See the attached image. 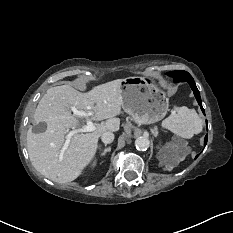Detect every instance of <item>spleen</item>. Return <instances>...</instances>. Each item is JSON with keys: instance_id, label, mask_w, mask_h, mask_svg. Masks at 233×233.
<instances>
[{"instance_id": "obj_1", "label": "spleen", "mask_w": 233, "mask_h": 233, "mask_svg": "<svg viewBox=\"0 0 233 233\" xmlns=\"http://www.w3.org/2000/svg\"><path fill=\"white\" fill-rule=\"evenodd\" d=\"M203 121L194 109L186 106L174 107L171 114L162 121V127L170 130L175 135L190 139L194 134L202 131ZM181 152L188 153L184 146Z\"/></svg>"}]
</instances>
